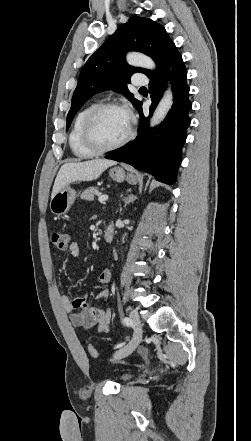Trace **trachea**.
<instances>
[{
    "mask_svg": "<svg viewBox=\"0 0 251 441\" xmlns=\"http://www.w3.org/2000/svg\"><path fill=\"white\" fill-rule=\"evenodd\" d=\"M140 89H146L145 87H141Z\"/></svg>",
    "mask_w": 251,
    "mask_h": 441,
    "instance_id": "obj_1",
    "label": "trachea"
}]
</instances>
